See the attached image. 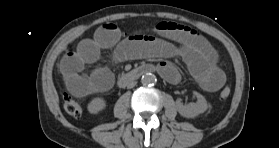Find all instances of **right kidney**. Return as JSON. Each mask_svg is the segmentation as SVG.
Masks as SVG:
<instances>
[{
  "label": "right kidney",
  "instance_id": "1",
  "mask_svg": "<svg viewBox=\"0 0 279 148\" xmlns=\"http://www.w3.org/2000/svg\"><path fill=\"white\" fill-rule=\"evenodd\" d=\"M106 107V102L103 98L97 97L94 98L90 103L88 104V111L92 114H97L100 111H102Z\"/></svg>",
  "mask_w": 279,
  "mask_h": 148
}]
</instances>
